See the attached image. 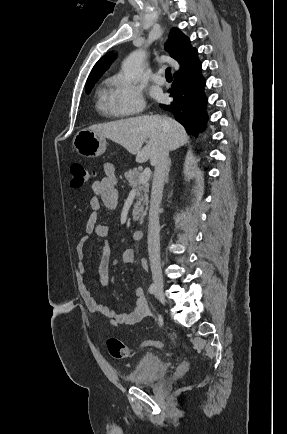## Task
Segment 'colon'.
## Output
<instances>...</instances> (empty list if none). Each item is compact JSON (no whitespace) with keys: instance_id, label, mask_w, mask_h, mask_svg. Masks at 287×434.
<instances>
[{"instance_id":"1","label":"colon","mask_w":287,"mask_h":434,"mask_svg":"<svg viewBox=\"0 0 287 434\" xmlns=\"http://www.w3.org/2000/svg\"><path fill=\"white\" fill-rule=\"evenodd\" d=\"M72 181L71 185L75 188L82 187L95 178V171L82 165L73 164L71 166ZM163 343L158 340H146L141 344L142 348H161ZM107 348L110 355L115 359H125L132 356L131 348L117 338H109L107 340Z\"/></svg>"}]
</instances>
